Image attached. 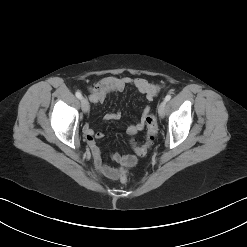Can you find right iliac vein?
<instances>
[{"label":"right iliac vein","instance_id":"1","mask_svg":"<svg viewBox=\"0 0 247 247\" xmlns=\"http://www.w3.org/2000/svg\"><path fill=\"white\" fill-rule=\"evenodd\" d=\"M81 107L84 113H88L90 109L89 102L86 98H81Z\"/></svg>","mask_w":247,"mask_h":247}]
</instances>
